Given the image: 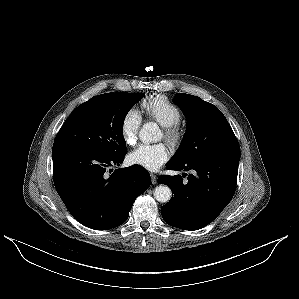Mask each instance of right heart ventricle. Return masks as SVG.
Instances as JSON below:
<instances>
[{"label":"right heart ventricle","mask_w":299,"mask_h":299,"mask_svg":"<svg viewBox=\"0 0 299 299\" xmlns=\"http://www.w3.org/2000/svg\"><path fill=\"white\" fill-rule=\"evenodd\" d=\"M142 113L162 126L178 124L182 114L180 109L165 95L155 94L141 102Z\"/></svg>","instance_id":"obj_1"}]
</instances>
